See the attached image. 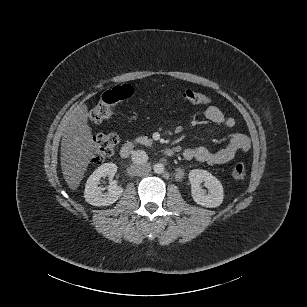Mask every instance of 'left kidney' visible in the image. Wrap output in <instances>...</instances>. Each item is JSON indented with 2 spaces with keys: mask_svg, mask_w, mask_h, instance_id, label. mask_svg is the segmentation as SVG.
<instances>
[{
  "mask_svg": "<svg viewBox=\"0 0 307 307\" xmlns=\"http://www.w3.org/2000/svg\"><path fill=\"white\" fill-rule=\"evenodd\" d=\"M191 193L194 201L207 208H214L223 202V186L206 170L194 169L189 172ZM208 189V193L201 184Z\"/></svg>",
  "mask_w": 307,
  "mask_h": 307,
  "instance_id": "1",
  "label": "left kidney"
}]
</instances>
